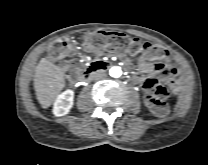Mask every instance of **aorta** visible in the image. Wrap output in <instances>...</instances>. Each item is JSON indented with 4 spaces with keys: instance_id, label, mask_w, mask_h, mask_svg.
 <instances>
[{
    "instance_id": "obj_1",
    "label": "aorta",
    "mask_w": 208,
    "mask_h": 165,
    "mask_svg": "<svg viewBox=\"0 0 208 165\" xmlns=\"http://www.w3.org/2000/svg\"><path fill=\"white\" fill-rule=\"evenodd\" d=\"M109 74L113 78H119L122 75V70L119 66H114L110 69Z\"/></svg>"
}]
</instances>
